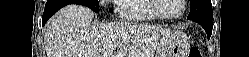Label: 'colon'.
Segmentation results:
<instances>
[{
  "label": "colon",
  "instance_id": "obj_1",
  "mask_svg": "<svg viewBox=\"0 0 249 57\" xmlns=\"http://www.w3.org/2000/svg\"><path fill=\"white\" fill-rule=\"evenodd\" d=\"M188 57H202V52L197 47H192L189 51Z\"/></svg>",
  "mask_w": 249,
  "mask_h": 57
}]
</instances>
